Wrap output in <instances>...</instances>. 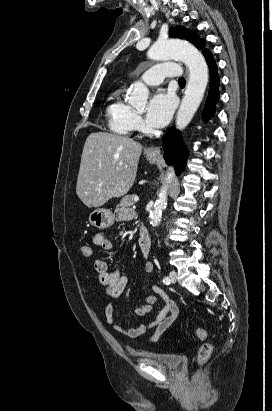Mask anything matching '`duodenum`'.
I'll return each mask as SVG.
<instances>
[{
  "instance_id": "410a0bca",
  "label": "duodenum",
  "mask_w": 272,
  "mask_h": 411,
  "mask_svg": "<svg viewBox=\"0 0 272 411\" xmlns=\"http://www.w3.org/2000/svg\"><path fill=\"white\" fill-rule=\"evenodd\" d=\"M151 237L148 232V230L144 227L140 228L139 230V248L141 250V253L148 257L149 254L151 253Z\"/></svg>"
}]
</instances>
